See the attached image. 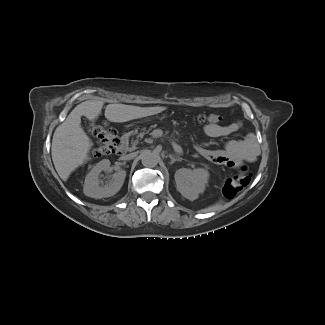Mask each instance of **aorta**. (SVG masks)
I'll use <instances>...</instances> for the list:
<instances>
[{
  "label": "aorta",
  "instance_id": "aorta-1",
  "mask_svg": "<svg viewBox=\"0 0 325 325\" xmlns=\"http://www.w3.org/2000/svg\"><path fill=\"white\" fill-rule=\"evenodd\" d=\"M158 161L159 156L156 153L151 152L150 150H146L141 154V162L145 167H155L158 164Z\"/></svg>",
  "mask_w": 325,
  "mask_h": 325
}]
</instances>
